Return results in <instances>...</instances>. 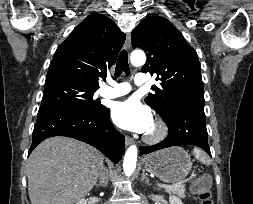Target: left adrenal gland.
I'll list each match as a JSON object with an SVG mask.
<instances>
[{
    "label": "left adrenal gland",
    "mask_w": 253,
    "mask_h": 204,
    "mask_svg": "<svg viewBox=\"0 0 253 204\" xmlns=\"http://www.w3.org/2000/svg\"><path fill=\"white\" fill-rule=\"evenodd\" d=\"M146 182L147 185H150V181H149V178L147 177V174H145V170L143 169L142 170V176H141V181H144Z\"/></svg>",
    "instance_id": "left-adrenal-gland-1"
}]
</instances>
